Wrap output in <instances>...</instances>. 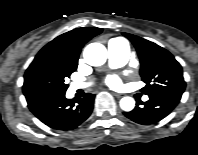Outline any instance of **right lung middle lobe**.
Here are the masks:
<instances>
[{
	"instance_id": "1",
	"label": "right lung middle lobe",
	"mask_w": 198,
	"mask_h": 155,
	"mask_svg": "<svg viewBox=\"0 0 198 155\" xmlns=\"http://www.w3.org/2000/svg\"><path fill=\"white\" fill-rule=\"evenodd\" d=\"M77 68V62L60 58H46L32 62L24 76L25 95L41 92H66L70 77Z\"/></svg>"
}]
</instances>
